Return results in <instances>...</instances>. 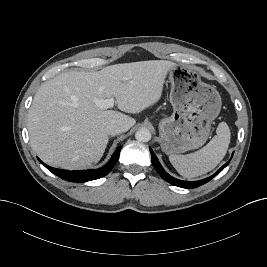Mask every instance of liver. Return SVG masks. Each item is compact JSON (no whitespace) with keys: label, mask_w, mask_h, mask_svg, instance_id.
<instances>
[{"label":"liver","mask_w":267,"mask_h":267,"mask_svg":"<svg viewBox=\"0 0 267 267\" xmlns=\"http://www.w3.org/2000/svg\"><path fill=\"white\" fill-rule=\"evenodd\" d=\"M172 66L166 60L115 64L97 72H64L43 83L28 113L32 149L53 167L76 170L97 163L108 144L107 125L118 123L127 131L136 121L101 109L95 100L114 98L121 111L139 113L158 102Z\"/></svg>","instance_id":"obj_1"}]
</instances>
